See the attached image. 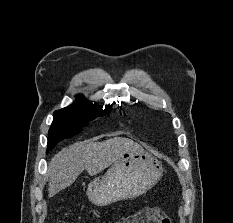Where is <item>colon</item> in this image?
I'll return each instance as SVG.
<instances>
[{
    "label": "colon",
    "mask_w": 233,
    "mask_h": 223,
    "mask_svg": "<svg viewBox=\"0 0 233 223\" xmlns=\"http://www.w3.org/2000/svg\"><path fill=\"white\" fill-rule=\"evenodd\" d=\"M121 223H172V221L161 210L148 209L146 214L124 219Z\"/></svg>",
    "instance_id": "5ec220e1"
}]
</instances>
